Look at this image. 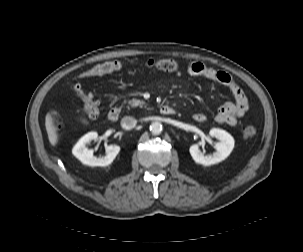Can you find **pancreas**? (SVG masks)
<instances>
[{
  "instance_id": "obj_1",
  "label": "pancreas",
  "mask_w": 303,
  "mask_h": 252,
  "mask_svg": "<svg viewBox=\"0 0 303 252\" xmlns=\"http://www.w3.org/2000/svg\"><path fill=\"white\" fill-rule=\"evenodd\" d=\"M144 104H145L144 101L133 98L132 100L128 101V107L127 108L129 109L130 107H137V106H141V105H144Z\"/></svg>"
}]
</instances>
